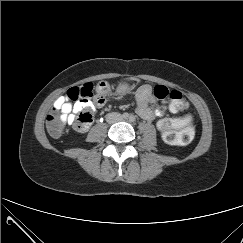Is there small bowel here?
Masks as SVG:
<instances>
[{
    "label": "small bowel",
    "instance_id": "1",
    "mask_svg": "<svg viewBox=\"0 0 243 243\" xmlns=\"http://www.w3.org/2000/svg\"><path fill=\"white\" fill-rule=\"evenodd\" d=\"M127 90L125 84L120 85L117 88L118 93H124ZM137 100V113L138 115L148 121L155 119L156 117H162L166 111L165 106L155 105V96L152 92V88L149 85H142L136 92ZM106 102V94H97L94 101H76L74 103L69 101L68 96H60L54 102V109L61 112V119L65 124H72L78 113L85 110L93 112L96 108H101ZM89 126V125H88ZM80 131H85L87 128Z\"/></svg>",
    "mask_w": 243,
    "mask_h": 243
}]
</instances>
